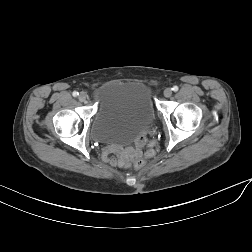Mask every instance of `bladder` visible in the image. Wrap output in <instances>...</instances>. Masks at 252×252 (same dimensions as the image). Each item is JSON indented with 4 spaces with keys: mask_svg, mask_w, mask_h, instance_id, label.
Segmentation results:
<instances>
[{
    "mask_svg": "<svg viewBox=\"0 0 252 252\" xmlns=\"http://www.w3.org/2000/svg\"><path fill=\"white\" fill-rule=\"evenodd\" d=\"M94 100L91 134L100 144L129 143L153 125L150 92L141 82H106L95 89Z\"/></svg>",
    "mask_w": 252,
    "mask_h": 252,
    "instance_id": "bladder-1",
    "label": "bladder"
}]
</instances>
